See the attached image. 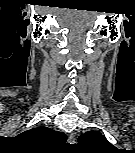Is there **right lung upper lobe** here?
<instances>
[{"label":"right lung upper lobe","mask_w":135,"mask_h":153,"mask_svg":"<svg viewBox=\"0 0 135 153\" xmlns=\"http://www.w3.org/2000/svg\"><path fill=\"white\" fill-rule=\"evenodd\" d=\"M28 144L48 146L56 142H66L67 137L63 132L54 131L47 127H38L27 130L17 136Z\"/></svg>","instance_id":"cb5924a9"}]
</instances>
